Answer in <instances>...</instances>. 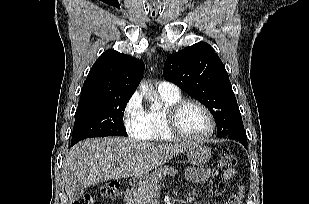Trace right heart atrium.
Segmentation results:
<instances>
[{
	"label": "right heart atrium",
	"instance_id": "1",
	"mask_svg": "<svg viewBox=\"0 0 309 204\" xmlns=\"http://www.w3.org/2000/svg\"><path fill=\"white\" fill-rule=\"evenodd\" d=\"M123 122L128 134L144 139L148 129L145 122V110L138 94H133L125 104Z\"/></svg>",
	"mask_w": 309,
	"mask_h": 204
}]
</instances>
